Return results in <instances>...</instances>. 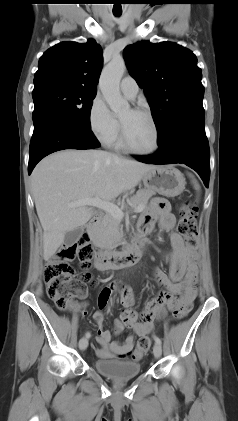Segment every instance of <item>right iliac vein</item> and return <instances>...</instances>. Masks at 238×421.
<instances>
[{"instance_id": "63e3f726", "label": "right iliac vein", "mask_w": 238, "mask_h": 421, "mask_svg": "<svg viewBox=\"0 0 238 421\" xmlns=\"http://www.w3.org/2000/svg\"><path fill=\"white\" fill-rule=\"evenodd\" d=\"M88 346V339L86 337H83L79 340V348L81 350H85Z\"/></svg>"}]
</instances>
